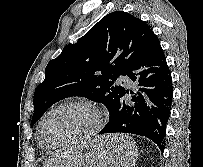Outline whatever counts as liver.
<instances>
[{"label":"liver","mask_w":203,"mask_h":167,"mask_svg":"<svg viewBox=\"0 0 203 167\" xmlns=\"http://www.w3.org/2000/svg\"><path fill=\"white\" fill-rule=\"evenodd\" d=\"M131 142V139L128 136L124 135H112L104 136L100 138L99 142L96 143V146H100L105 143L118 146H126ZM79 159L77 154L72 152H63L55 154L48 158L43 164V167H70L76 160Z\"/></svg>","instance_id":"1"}]
</instances>
